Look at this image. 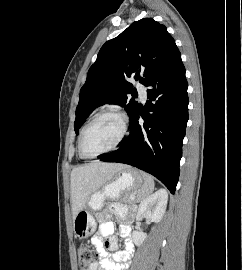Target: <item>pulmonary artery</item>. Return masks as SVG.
Instances as JSON below:
<instances>
[{
  "label": "pulmonary artery",
  "mask_w": 242,
  "mask_h": 270,
  "mask_svg": "<svg viewBox=\"0 0 242 270\" xmlns=\"http://www.w3.org/2000/svg\"><path fill=\"white\" fill-rule=\"evenodd\" d=\"M137 91L140 95V97L142 98V100H146L147 97V91H146V87L143 84H138L137 85Z\"/></svg>",
  "instance_id": "pulmonary-artery-1"
}]
</instances>
